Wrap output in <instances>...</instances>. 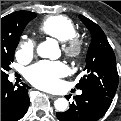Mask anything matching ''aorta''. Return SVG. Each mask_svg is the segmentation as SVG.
<instances>
[{
  "label": "aorta",
  "mask_w": 121,
  "mask_h": 121,
  "mask_svg": "<svg viewBox=\"0 0 121 121\" xmlns=\"http://www.w3.org/2000/svg\"><path fill=\"white\" fill-rule=\"evenodd\" d=\"M37 53L42 58L57 59L60 55L57 41L48 39L40 43L37 47ZM54 107L57 111L64 112L68 108V101L65 98H58L54 102Z\"/></svg>",
  "instance_id": "1"
}]
</instances>
